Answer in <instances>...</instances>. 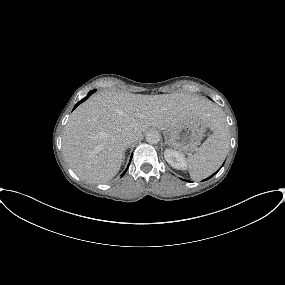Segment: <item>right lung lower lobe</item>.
<instances>
[{
  "mask_svg": "<svg viewBox=\"0 0 285 285\" xmlns=\"http://www.w3.org/2000/svg\"><path fill=\"white\" fill-rule=\"evenodd\" d=\"M96 90H92V91H90L89 93H88V95L85 97V98H83L82 100H80L76 105H75V107H74V109L80 104V103H82V102H84L92 93H94ZM130 164V163H129ZM129 166V165H128ZM126 171H127V169L124 171V173L122 174V176L126 173Z\"/></svg>",
  "mask_w": 285,
  "mask_h": 285,
  "instance_id": "1",
  "label": "right lung lower lobe"
}]
</instances>
